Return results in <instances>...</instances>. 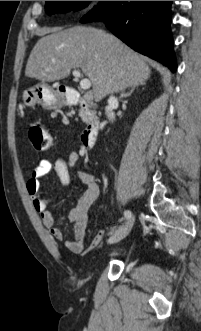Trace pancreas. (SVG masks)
I'll return each mask as SVG.
<instances>
[{
  "label": "pancreas",
  "mask_w": 201,
  "mask_h": 331,
  "mask_svg": "<svg viewBox=\"0 0 201 331\" xmlns=\"http://www.w3.org/2000/svg\"><path fill=\"white\" fill-rule=\"evenodd\" d=\"M79 116L81 117L82 121L85 123H89V118L87 117L86 113L80 109Z\"/></svg>",
  "instance_id": "pancreas-1"
}]
</instances>
